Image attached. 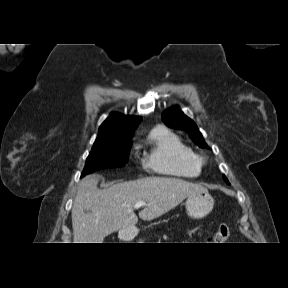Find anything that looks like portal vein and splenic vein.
Masks as SVG:
<instances>
[{"instance_id": "1", "label": "portal vein and splenic vein", "mask_w": 288, "mask_h": 288, "mask_svg": "<svg viewBox=\"0 0 288 288\" xmlns=\"http://www.w3.org/2000/svg\"><path fill=\"white\" fill-rule=\"evenodd\" d=\"M146 205H147L146 202L140 201L134 205V208H140V207L146 206Z\"/></svg>"}]
</instances>
